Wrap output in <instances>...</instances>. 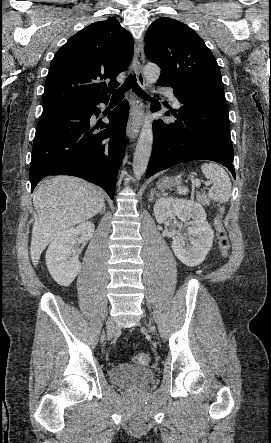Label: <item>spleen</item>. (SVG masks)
<instances>
[{"label":"spleen","instance_id":"1","mask_svg":"<svg viewBox=\"0 0 271 443\" xmlns=\"http://www.w3.org/2000/svg\"><path fill=\"white\" fill-rule=\"evenodd\" d=\"M201 170L205 178L213 184L209 190V198L214 202H222V204L228 202L231 196V182L227 172L217 164H202ZM177 192L180 196H185L189 190L179 186Z\"/></svg>","mask_w":271,"mask_h":443}]
</instances>
